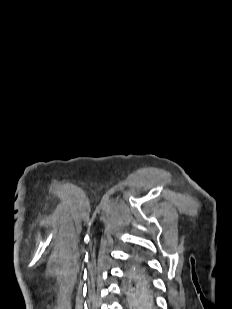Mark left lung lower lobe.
I'll return each mask as SVG.
<instances>
[{
  "mask_svg": "<svg viewBox=\"0 0 232 309\" xmlns=\"http://www.w3.org/2000/svg\"><path fill=\"white\" fill-rule=\"evenodd\" d=\"M125 292L132 295L131 309L155 308L151 273L149 266L141 256H134L130 260L126 271Z\"/></svg>",
  "mask_w": 232,
  "mask_h": 309,
  "instance_id": "left-lung-lower-lobe-1",
  "label": "left lung lower lobe"
}]
</instances>
